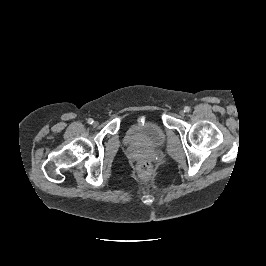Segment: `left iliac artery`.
<instances>
[{"label": "left iliac artery", "mask_w": 266, "mask_h": 266, "mask_svg": "<svg viewBox=\"0 0 266 266\" xmlns=\"http://www.w3.org/2000/svg\"><path fill=\"white\" fill-rule=\"evenodd\" d=\"M190 110H191V109H190L189 106H185V107H184V111H185V112H190Z\"/></svg>", "instance_id": "44dca946"}]
</instances>
